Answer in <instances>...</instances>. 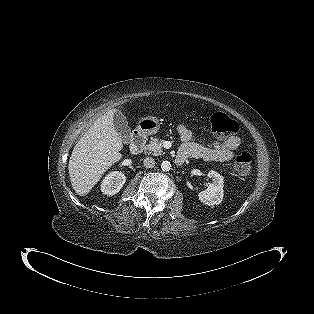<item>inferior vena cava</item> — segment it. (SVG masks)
Masks as SVG:
<instances>
[{"label":"inferior vena cava","instance_id":"1","mask_svg":"<svg viewBox=\"0 0 314 314\" xmlns=\"http://www.w3.org/2000/svg\"><path fill=\"white\" fill-rule=\"evenodd\" d=\"M143 165L146 168H153L155 166V160L152 157H146L143 160Z\"/></svg>","mask_w":314,"mask_h":314}]
</instances>
